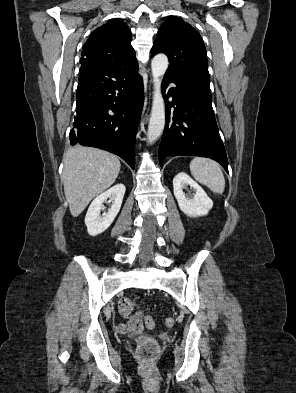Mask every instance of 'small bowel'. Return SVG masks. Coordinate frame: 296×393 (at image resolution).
<instances>
[{
	"mask_svg": "<svg viewBox=\"0 0 296 393\" xmlns=\"http://www.w3.org/2000/svg\"><path fill=\"white\" fill-rule=\"evenodd\" d=\"M116 329L120 333H140L144 325L139 316H131L126 323L116 325Z\"/></svg>",
	"mask_w": 296,
	"mask_h": 393,
	"instance_id": "1",
	"label": "small bowel"
}]
</instances>
